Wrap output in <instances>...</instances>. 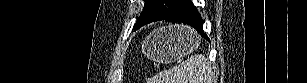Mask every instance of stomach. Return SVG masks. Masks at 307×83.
Segmentation results:
<instances>
[{"mask_svg": "<svg viewBox=\"0 0 307 83\" xmlns=\"http://www.w3.org/2000/svg\"><path fill=\"white\" fill-rule=\"evenodd\" d=\"M200 36L184 26H167L154 30L142 44L143 53L163 63L186 56L198 48Z\"/></svg>", "mask_w": 307, "mask_h": 83, "instance_id": "stomach-1", "label": "stomach"}]
</instances>
